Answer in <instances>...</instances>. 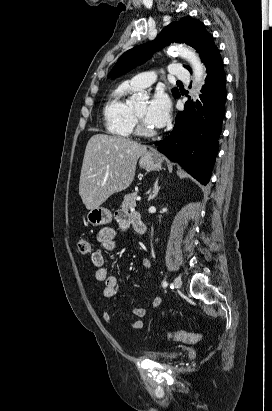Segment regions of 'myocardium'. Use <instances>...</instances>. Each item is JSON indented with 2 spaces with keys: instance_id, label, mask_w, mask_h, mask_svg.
Wrapping results in <instances>:
<instances>
[{
  "instance_id": "f54148a6",
  "label": "myocardium",
  "mask_w": 272,
  "mask_h": 411,
  "mask_svg": "<svg viewBox=\"0 0 272 411\" xmlns=\"http://www.w3.org/2000/svg\"><path fill=\"white\" fill-rule=\"evenodd\" d=\"M131 118L133 123V130L135 131V133L144 137H152L156 135V131L154 129L147 128L143 125L133 107H131Z\"/></svg>"
}]
</instances>
